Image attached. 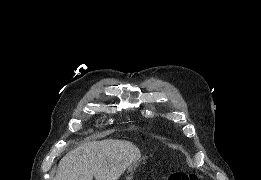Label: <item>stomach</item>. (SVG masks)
<instances>
[{
	"mask_svg": "<svg viewBox=\"0 0 261 180\" xmlns=\"http://www.w3.org/2000/svg\"><path fill=\"white\" fill-rule=\"evenodd\" d=\"M139 161H136V162H134L132 165H130L129 167H128V171H132L133 170V168H135L136 166H137V163H138Z\"/></svg>",
	"mask_w": 261,
	"mask_h": 180,
	"instance_id": "0dacf381",
	"label": "stomach"
}]
</instances>
